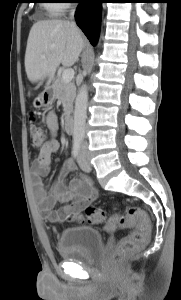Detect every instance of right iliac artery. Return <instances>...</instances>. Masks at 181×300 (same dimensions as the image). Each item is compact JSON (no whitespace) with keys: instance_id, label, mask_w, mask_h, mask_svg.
Masks as SVG:
<instances>
[{"instance_id":"1","label":"right iliac artery","mask_w":181,"mask_h":300,"mask_svg":"<svg viewBox=\"0 0 181 300\" xmlns=\"http://www.w3.org/2000/svg\"><path fill=\"white\" fill-rule=\"evenodd\" d=\"M81 149V140L75 139L73 142V148H72V155L74 158H77L79 156Z\"/></svg>"}]
</instances>
